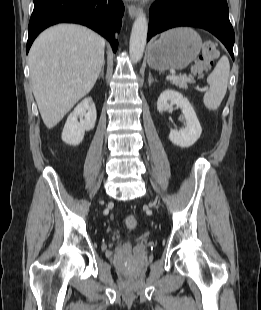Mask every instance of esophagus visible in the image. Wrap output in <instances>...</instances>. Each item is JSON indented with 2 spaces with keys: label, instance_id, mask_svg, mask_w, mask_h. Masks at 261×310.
<instances>
[{
  "label": "esophagus",
  "instance_id": "1",
  "mask_svg": "<svg viewBox=\"0 0 261 310\" xmlns=\"http://www.w3.org/2000/svg\"><path fill=\"white\" fill-rule=\"evenodd\" d=\"M139 7L135 5H129L128 13L131 18H135L139 14Z\"/></svg>",
  "mask_w": 261,
  "mask_h": 310
}]
</instances>
